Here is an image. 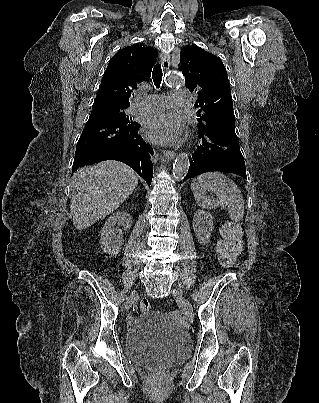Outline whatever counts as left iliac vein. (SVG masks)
Instances as JSON below:
<instances>
[{
    "label": "left iliac vein",
    "mask_w": 319,
    "mask_h": 403,
    "mask_svg": "<svg viewBox=\"0 0 319 403\" xmlns=\"http://www.w3.org/2000/svg\"><path fill=\"white\" fill-rule=\"evenodd\" d=\"M173 297L175 298L176 302L181 307L186 319L190 322L194 319V311L193 307L190 302L184 297L181 291L173 290Z\"/></svg>",
    "instance_id": "1"
}]
</instances>
